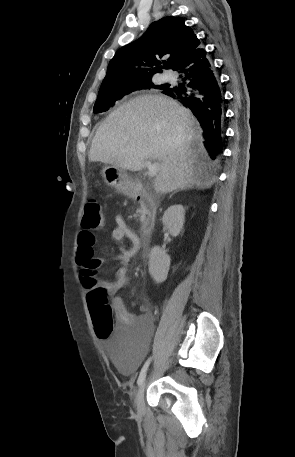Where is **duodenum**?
Segmentation results:
<instances>
[{"label":"duodenum","instance_id":"410a0bca","mask_svg":"<svg viewBox=\"0 0 295 457\" xmlns=\"http://www.w3.org/2000/svg\"><path fill=\"white\" fill-rule=\"evenodd\" d=\"M131 196L142 208V221L140 227V239L142 247L146 249L150 243L156 224V206L149 193L141 188L135 187Z\"/></svg>","mask_w":295,"mask_h":457}]
</instances>
